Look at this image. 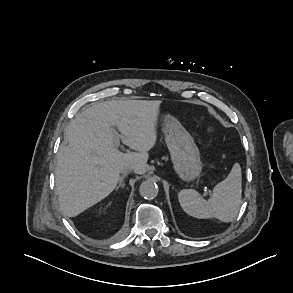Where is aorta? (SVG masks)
<instances>
[{"mask_svg": "<svg viewBox=\"0 0 293 293\" xmlns=\"http://www.w3.org/2000/svg\"><path fill=\"white\" fill-rule=\"evenodd\" d=\"M139 193L145 199H154L158 194V186L153 181H144L141 183L139 187Z\"/></svg>", "mask_w": 293, "mask_h": 293, "instance_id": "aorta-1", "label": "aorta"}]
</instances>
